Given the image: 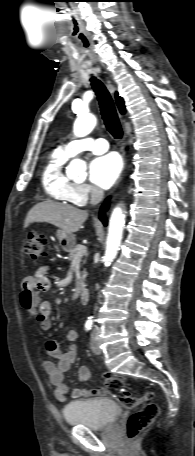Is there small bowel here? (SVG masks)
I'll return each instance as SVG.
<instances>
[{
  "label": "small bowel",
  "instance_id": "1",
  "mask_svg": "<svg viewBox=\"0 0 195 456\" xmlns=\"http://www.w3.org/2000/svg\"><path fill=\"white\" fill-rule=\"evenodd\" d=\"M47 268H39L34 275L26 276L21 281L20 304L23 309L34 318L42 330L51 328V304L48 301H40L38 291H46L50 287V279L47 275ZM78 334L70 329L66 332L67 345L63 348L57 340H49L46 343V355L49 359L43 362V367L50 377L54 386L56 397L65 401L69 389L64 382L65 374L69 371L77 357L75 341ZM77 378L80 383H86L91 378L90 370L82 366L78 369ZM103 388L84 389L76 387L71 391L74 399L93 396H103Z\"/></svg>",
  "mask_w": 195,
  "mask_h": 456
}]
</instances>
